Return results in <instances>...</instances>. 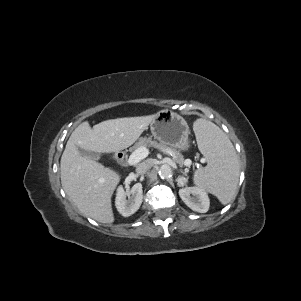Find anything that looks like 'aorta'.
I'll use <instances>...</instances> for the list:
<instances>
[{
	"label": "aorta",
	"instance_id": "762f6f07",
	"mask_svg": "<svg viewBox=\"0 0 301 301\" xmlns=\"http://www.w3.org/2000/svg\"><path fill=\"white\" fill-rule=\"evenodd\" d=\"M158 174L161 178H168L172 175V169L168 164H163L160 166Z\"/></svg>",
	"mask_w": 301,
	"mask_h": 301
}]
</instances>
